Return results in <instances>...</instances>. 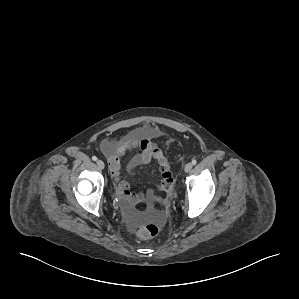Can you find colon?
Segmentation results:
<instances>
[{"label":"colon","instance_id":"5ec220e1","mask_svg":"<svg viewBox=\"0 0 299 299\" xmlns=\"http://www.w3.org/2000/svg\"><path fill=\"white\" fill-rule=\"evenodd\" d=\"M159 231H160L159 225L155 223H150L141 227L138 231V235L143 239H148L158 235Z\"/></svg>","mask_w":299,"mask_h":299}]
</instances>
